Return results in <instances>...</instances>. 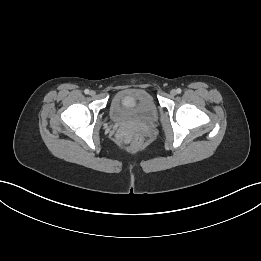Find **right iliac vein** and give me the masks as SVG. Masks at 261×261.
I'll list each match as a JSON object with an SVG mask.
<instances>
[{
  "label": "right iliac vein",
  "instance_id": "obj_1",
  "mask_svg": "<svg viewBox=\"0 0 261 261\" xmlns=\"http://www.w3.org/2000/svg\"><path fill=\"white\" fill-rule=\"evenodd\" d=\"M95 94H96V92H95V91H93V90H92V91H90V95H91V96H95Z\"/></svg>",
  "mask_w": 261,
  "mask_h": 261
}]
</instances>
